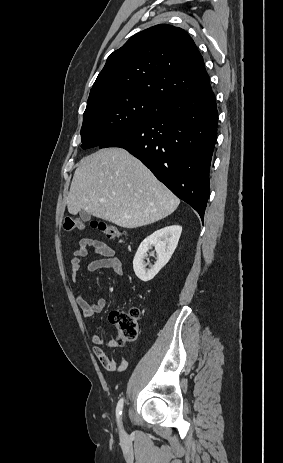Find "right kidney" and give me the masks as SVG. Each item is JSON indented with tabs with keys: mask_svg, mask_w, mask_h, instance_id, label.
<instances>
[{
	"mask_svg": "<svg viewBox=\"0 0 283 463\" xmlns=\"http://www.w3.org/2000/svg\"><path fill=\"white\" fill-rule=\"evenodd\" d=\"M181 232V226L172 225L155 231L143 240L133 260L134 272L141 281L146 282L153 279L168 263L177 247ZM151 246L155 247L157 260L150 269H146L144 257Z\"/></svg>",
	"mask_w": 283,
	"mask_h": 463,
	"instance_id": "1",
	"label": "right kidney"
}]
</instances>
